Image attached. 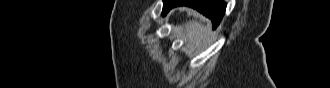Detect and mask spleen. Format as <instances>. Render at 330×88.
Segmentation results:
<instances>
[{"instance_id":"3e777b00","label":"spleen","mask_w":330,"mask_h":88,"mask_svg":"<svg viewBox=\"0 0 330 88\" xmlns=\"http://www.w3.org/2000/svg\"><path fill=\"white\" fill-rule=\"evenodd\" d=\"M212 31L210 24H202L198 21H189L185 25V29H178L174 31L175 39H182L190 46L207 47L212 41Z\"/></svg>"}]
</instances>
